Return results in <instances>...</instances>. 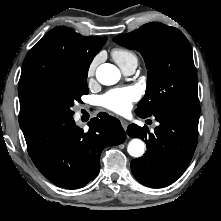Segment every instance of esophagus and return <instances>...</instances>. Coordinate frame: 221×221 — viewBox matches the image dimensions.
<instances>
[{
  "label": "esophagus",
  "mask_w": 221,
  "mask_h": 221,
  "mask_svg": "<svg viewBox=\"0 0 221 221\" xmlns=\"http://www.w3.org/2000/svg\"><path fill=\"white\" fill-rule=\"evenodd\" d=\"M121 125L124 128V130H127L128 127V122L124 119H121Z\"/></svg>",
  "instance_id": "esophagus-1"
}]
</instances>
